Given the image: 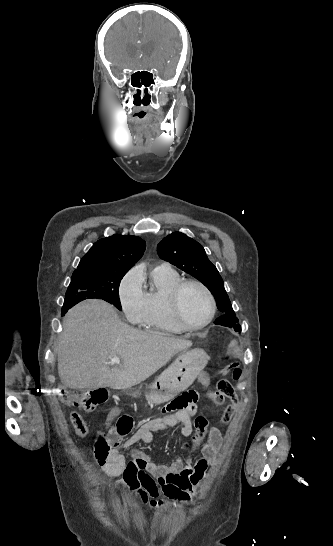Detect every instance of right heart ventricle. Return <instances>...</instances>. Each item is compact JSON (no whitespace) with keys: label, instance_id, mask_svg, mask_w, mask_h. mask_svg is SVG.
<instances>
[{"label":"right heart ventricle","instance_id":"1","mask_svg":"<svg viewBox=\"0 0 333 546\" xmlns=\"http://www.w3.org/2000/svg\"><path fill=\"white\" fill-rule=\"evenodd\" d=\"M182 277L167 265L153 268L142 281L145 312L141 324L145 329L168 334H181L184 330L173 319L168 305L174 285Z\"/></svg>","mask_w":333,"mask_h":546}]
</instances>
